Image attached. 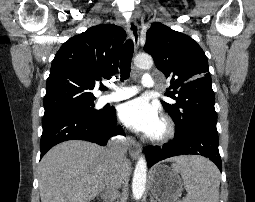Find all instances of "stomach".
<instances>
[{"instance_id": "obj_1", "label": "stomach", "mask_w": 255, "mask_h": 202, "mask_svg": "<svg viewBox=\"0 0 255 202\" xmlns=\"http://www.w3.org/2000/svg\"><path fill=\"white\" fill-rule=\"evenodd\" d=\"M149 187L158 202H177L181 196L183 182L178 172L160 164L151 173Z\"/></svg>"}]
</instances>
